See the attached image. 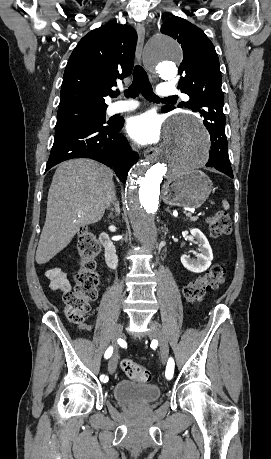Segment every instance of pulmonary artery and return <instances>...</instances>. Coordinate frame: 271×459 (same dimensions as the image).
<instances>
[{
	"label": "pulmonary artery",
	"instance_id": "obj_1",
	"mask_svg": "<svg viewBox=\"0 0 271 459\" xmlns=\"http://www.w3.org/2000/svg\"><path fill=\"white\" fill-rule=\"evenodd\" d=\"M161 89L158 90L157 95L159 98H171L177 96L178 92L175 91L174 83L172 81H163L160 84ZM121 94L125 95V92L121 90ZM182 102L186 101L185 97L181 98ZM139 108V103L129 99H119L111 104L106 109V115L111 116L119 113L132 112Z\"/></svg>",
	"mask_w": 271,
	"mask_h": 459
}]
</instances>
